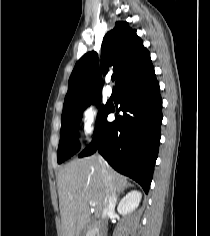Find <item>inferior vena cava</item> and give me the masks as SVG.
Instances as JSON below:
<instances>
[{
  "instance_id": "inferior-vena-cava-1",
  "label": "inferior vena cava",
  "mask_w": 210,
  "mask_h": 236,
  "mask_svg": "<svg viewBox=\"0 0 210 236\" xmlns=\"http://www.w3.org/2000/svg\"><path fill=\"white\" fill-rule=\"evenodd\" d=\"M98 162L103 169L106 168V161L102 156L98 155ZM117 196L116 193H109L104 199V208L102 211V229L101 236H107V217L115 212Z\"/></svg>"
}]
</instances>
